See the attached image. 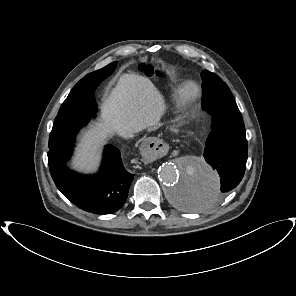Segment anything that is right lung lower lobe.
Here are the masks:
<instances>
[{
  "label": "right lung lower lobe",
  "instance_id": "obj_1",
  "mask_svg": "<svg viewBox=\"0 0 296 296\" xmlns=\"http://www.w3.org/2000/svg\"><path fill=\"white\" fill-rule=\"evenodd\" d=\"M73 142L50 148L48 163L59 191L78 208L95 214H112L125 203L134 174L125 170L120 151L107 145L100 171L87 176L65 165L72 154Z\"/></svg>",
  "mask_w": 296,
  "mask_h": 296
}]
</instances>
